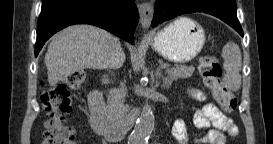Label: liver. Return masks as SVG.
<instances>
[{
	"label": "liver",
	"mask_w": 273,
	"mask_h": 144,
	"mask_svg": "<svg viewBox=\"0 0 273 144\" xmlns=\"http://www.w3.org/2000/svg\"><path fill=\"white\" fill-rule=\"evenodd\" d=\"M113 36L92 25H73L53 36L44 62L50 86L66 79L75 71L84 68H106L104 55ZM125 61V53L114 63L119 68Z\"/></svg>",
	"instance_id": "6515ba94"
}]
</instances>
